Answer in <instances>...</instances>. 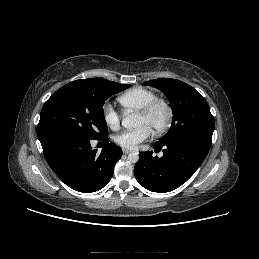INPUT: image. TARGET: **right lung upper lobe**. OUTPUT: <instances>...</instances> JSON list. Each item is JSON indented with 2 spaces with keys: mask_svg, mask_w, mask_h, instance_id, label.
Here are the masks:
<instances>
[{
  "mask_svg": "<svg viewBox=\"0 0 259 259\" xmlns=\"http://www.w3.org/2000/svg\"><path fill=\"white\" fill-rule=\"evenodd\" d=\"M102 78H90V79H81V80H86V81H98L101 80Z\"/></svg>",
  "mask_w": 259,
  "mask_h": 259,
  "instance_id": "cb5924a9",
  "label": "right lung upper lobe"
}]
</instances>
